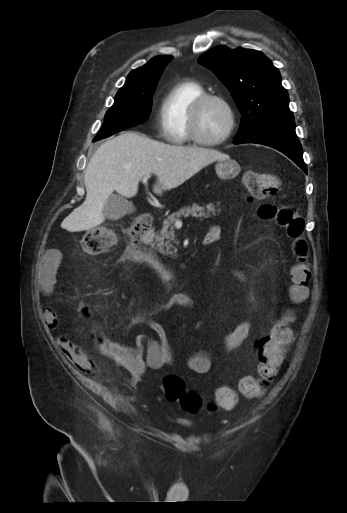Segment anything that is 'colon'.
Returning a JSON list of instances; mask_svg holds the SVG:
<instances>
[{
    "mask_svg": "<svg viewBox=\"0 0 347 513\" xmlns=\"http://www.w3.org/2000/svg\"><path fill=\"white\" fill-rule=\"evenodd\" d=\"M244 193L249 200L274 197L279 191V181L274 174L249 173L244 178ZM258 215L264 220H273L285 229L286 236L291 240L292 252L295 262L291 266L290 294L296 301L307 296L308 286L311 280L309 265V246L305 238L304 219L292 208L276 206L264 203L258 208ZM117 241L116 234L106 227H95L87 231L82 238V248L88 254H100L111 249ZM83 315L92 311L88 302L79 306ZM92 321L91 317L87 318ZM294 315L291 311L281 314L273 323L267 340H264L259 349L258 362L256 364V377L246 376L239 381L240 393L248 398H258L269 389L272 381L278 375L280 361L287 357V345L292 339L291 324ZM94 339L99 345L109 346L99 331H94ZM163 387L168 400L178 402L184 410L190 413L198 412L202 406L199 395L186 389L183 378L169 374L164 377ZM237 403L235 391L226 385L220 386L215 392L214 403H209L207 408L215 410L222 408L231 410Z\"/></svg>",
    "mask_w": 347,
    "mask_h": 513,
    "instance_id": "colon-1",
    "label": "colon"
}]
</instances>
